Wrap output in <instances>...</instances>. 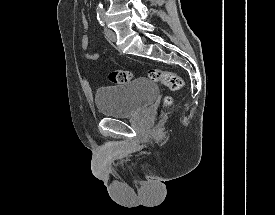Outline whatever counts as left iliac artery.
I'll return each mask as SVG.
<instances>
[{
	"label": "left iliac artery",
	"instance_id": "obj_1",
	"mask_svg": "<svg viewBox=\"0 0 275 215\" xmlns=\"http://www.w3.org/2000/svg\"><path fill=\"white\" fill-rule=\"evenodd\" d=\"M104 18H105L104 9L102 6H100L97 8V19L101 26L104 25Z\"/></svg>",
	"mask_w": 275,
	"mask_h": 215
}]
</instances>
